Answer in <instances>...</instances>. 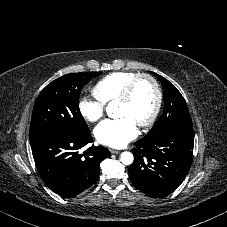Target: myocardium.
<instances>
[{
	"label": "myocardium",
	"mask_w": 227,
	"mask_h": 227,
	"mask_svg": "<svg viewBox=\"0 0 227 227\" xmlns=\"http://www.w3.org/2000/svg\"><path fill=\"white\" fill-rule=\"evenodd\" d=\"M142 79H146L148 80L155 91V104L153 107L152 112L150 113V115L148 116V118L146 120H144L143 122H141L139 124V127H147L149 125H151L157 118L160 109H161V105H162V91H161V87L158 83V81L150 74L147 73H142L139 75H136L124 88L122 94L120 95V97L117 99V103H127L130 101V99L133 96L135 87L137 86L138 82Z\"/></svg>",
	"instance_id": "obj_1"
}]
</instances>
